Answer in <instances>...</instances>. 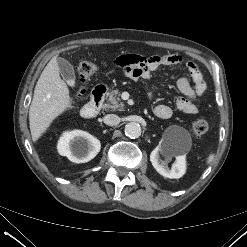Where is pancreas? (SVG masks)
Returning a JSON list of instances; mask_svg holds the SVG:
<instances>
[{
	"instance_id": "1",
	"label": "pancreas",
	"mask_w": 247,
	"mask_h": 247,
	"mask_svg": "<svg viewBox=\"0 0 247 247\" xmlns=\"http://www.w3.org/2000/svg\"><path fill=\"white\" fill-rule=\"evenodd\" d=\"M103 108L107 111H123L124 104L120 99L119 90H113L108 94V100L104 104Z\"/></svg>"
}]
</instances>
